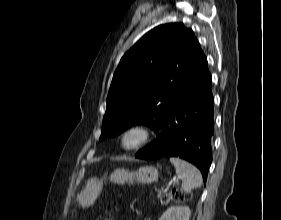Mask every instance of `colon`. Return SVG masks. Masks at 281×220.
Listing matches in <instances>:
<instances>
[{
    "label": "colon",
    "mask_w": 281,
    "mask_h": 220,
    "mask_svg": "<svg viewBox=\"0 0 281 220\" xmlns=\"http://www.w3.org/2000/svg\"><path fill=\"white\" fill-rule=\"evenodd\" d=\"M190 193L183 191V190H175L171 192L170 194H167L163 196L162 201L163 202H168L169 200H175L178 202H183L186 201L190 198ZM102 220V219H99Z\"/></svg>",
    "instance_id": "colon-1"
}]
</instances>
